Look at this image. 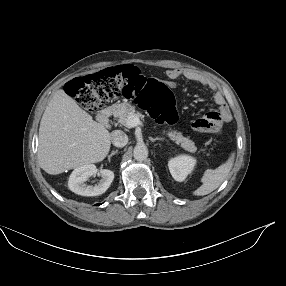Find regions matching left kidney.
I'll return each instance as SVG.
<instances>
[{"instance_id": "5707ae66", "label": "left kidney", "mask_w": 286, "mask_h": 286, "mask_svg": "<svg viewBox=\"0 0 286 286\" xmlns=\"http://www.w3.org/2000/svg\"><path fill=\"white\" fill-rule=\"evenodd\" d=\"M196 164V160L187 155H180L175 158L170 159L168 162L169 171L172 177L176 181H184L186 176L191 173L194 166Z\"/></svg>"}]
</instances>
